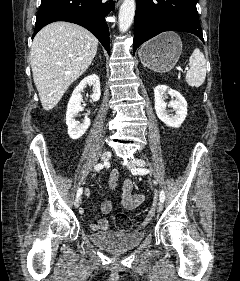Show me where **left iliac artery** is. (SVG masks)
<instances>
[{
    "label": "left iliac artery",
    "instance_id": "44dca946",
    "mask_svg": "<svg viewBox=\"0 0 240 281\" xmlns=\"http://www.w3.org/2000/svg\"><path fill=\"white\" fill-rule=\"evenodd\" d=\"M131 172H132L133 175H137V174L145 175V174H148L150 171L146 168H134V169L131 170ZM159 198H160V202L163 203L164 200H165L164 191L160 192Z\"/></svg>",
    "mask_w": 240,
    "mask_h": 281
}]
</instances>
